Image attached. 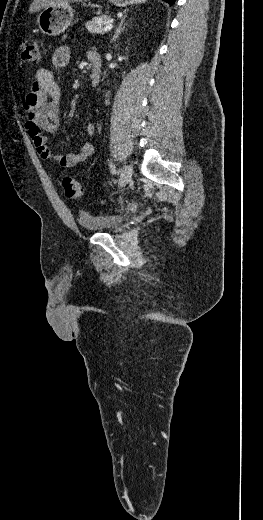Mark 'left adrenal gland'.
<instances>
[{
  "mask_svg": "<svg viewBox=\"0 0 263 520\" xmlns=\"http://www.w3.org/2000/svg\"><path fill=\"white\" fill-rule=\"evenodd\" d=\"M125 18H126V15H124L122 17L120 23L118 24V26L115 30V33H114L113 39H112L114 42L118 39L119 35L121 34V32L125 29V26L127 25V23H124Z\"/></svg>",
  "mask_w": 263,
  "mask_h": 520,
  "instance_id": "left-adrenal-gland-1",
  "label": "left adrenal gland"
}]
</instances>
